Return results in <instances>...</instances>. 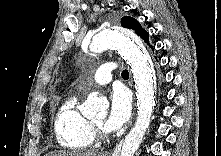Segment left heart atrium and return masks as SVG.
Masks as SVG:
<instances>
[{"label":"left heart atrium","mask_w":221,"mask_h":156,"mask_svg":"<svg viewBox=\"0 0 221 156\" xmlns=\"http://www.w3.org/2000/svg\"><path fill=\"white\" fill-rule=\"evenodd\" d=\"M131 110V97L128 91L115 87L110 94V109L104 123L105 130L108 132L119 130L129 120Z\"/></svg>","instance_id":"obj_1"}]
</instances>
